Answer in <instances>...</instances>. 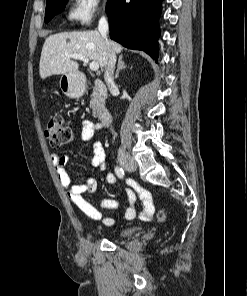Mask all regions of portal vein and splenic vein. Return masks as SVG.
<instances>
[{
	"instance_id": "obj_1",
	"label": "portal vein and splenic vein",
	"mask_w": 247,
	"mask_h": 296,
	"mask_svg": "<svg viewBox=\"0 0 247 296\" xmlns=\"http://www.w3.org/2000/svg\"><path fill=\"white\" fill-rule=\"evenodd\" d=\"M67 56L70 58L79 59V60L83 61L84 63H88L89 68L92 71H97L99 69V64L97 62L92 61L89 63V59L87 57L83 56L82 54L74 53V54H67Z\"/></svg>"
}]
</instances>
